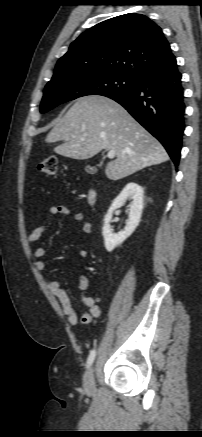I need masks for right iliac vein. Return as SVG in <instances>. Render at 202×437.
<instances>
[{
  "mask_svg": "<svg viewBox=\"0 0 202 437\" xmlns=\"http://www.w3.org/2000/svg\"><path fill=\"white\" fill-rule=\"evenodd\" d=\"M84 389L87 393H92L95 390L93 369L90 368L84 376Z\"/></svg>",
  "mask_w": 202,
  "mask_h": 437,
  "instance_id": "63e3f726",
  "label": "right iliac vein"
}]
</instances>
